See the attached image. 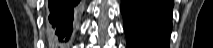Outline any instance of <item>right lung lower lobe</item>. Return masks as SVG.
I'll return each instance as SVG.
<instances>
[{"label":"right lung lower lobe","mask_w":213,"mask_h":48,"mask_svg":"<svg viewBox=\"0 0 213 48\" xmlns=\"http://www.w3.org/2000/svg\"><path fill=\"white\" fill-rule=\"evenodd\" d=\"M79 0H49V21L55 28V34L61 41L68 40L69 32L72 31V21L76 16Z\"/></svg>","instance_id":"98d812e1"}]
</instances>
